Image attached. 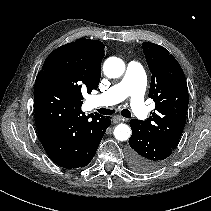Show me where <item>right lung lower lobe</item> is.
Wrapping results in <instances>:
<instances>
[{
    "mask_svg": "<svg viewBox=\"0 0 211 211\" xmlns=\"http://www.w3.org/2000/svg\"><path fill=\"white\" fill-rule=\"evenodd\" d=\"M82 100L46 80L36 79L34 113L41 143L58 166L84 167L94 157L111 117L96 114L89 119L81 111Z\"/></svg>",
    "mask_w": 211,
    "mask_h": 211,
    "instance_id": "right-lung-lower-lobe-1",
    "label": "right lung lower lobe"
}]
</instances>
